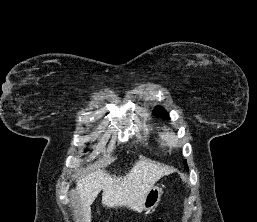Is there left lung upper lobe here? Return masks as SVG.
Here are the masks:
<instances>
[{
    "label": "left lung upper lobe",
    "instance_id": "1",
    "mask_svg": "<svg viewBox=\"0 0 257 222\" xmlns=\"http://www.w3.org/2000/svg\"><path fill=\"white\" fill-rule=\"evenodd\" d=\"M153 114L157 117H161V118H168L169 119V115L168 113L160 106H158ZM185 168L188 170V166H187V163L185 162Z\"/></svg>",
    "mask_w": 257,
    "mask_h": 222
}]
</instances>
